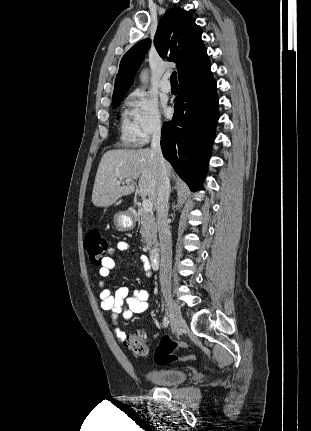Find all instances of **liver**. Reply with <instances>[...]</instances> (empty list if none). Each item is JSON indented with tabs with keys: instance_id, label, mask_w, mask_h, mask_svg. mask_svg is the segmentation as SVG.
I'll list each match as a JSON object with an SVG mask.
<instances>
[{
	"instance_id": "1",
	"label": "liver",
	"mask_w": 311,
	"mask_h": 431,
	"mask_svg": "<svg viewBox=\"0 0 311 431\" xmlns=\"http://www.w3.org/2000/svg\"><path fill=\"white\" fill-rule=\"evenodd\" d=\"M166 172L172 180V168L168 162ZM118 180H131L126 186H118ZM133 180H138V196H148L153 206L157 204L158 164L151 150H109L101 158L92 190V204L96 208L120 206L123 196L135 192Z\"/></svg>"
}]
</instances>
